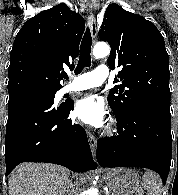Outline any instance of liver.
I'll return each mask as SVG.
<instances>
[{
	"mask_svg": "<svg viewBox=\"0 0 178 195\" xmlns=\"http://www.w3.org/2000/svg\"><path fill=\"white\" fill-rule=\"evenodd\" d=\"M70 171L45 163H22L10 174L9 195H68Z\"/></svg>",
	"mask_w": 178,
	"mask_h": 195,
	"instance_id": "1",
	"label": "liver"
}]
</instances>
